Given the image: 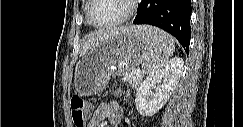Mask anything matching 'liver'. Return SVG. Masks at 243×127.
<instances>
[{
    "mask_svg": "<svg viewBox=\"0 0 243 127\" xmlns=\"http://www.w3.org/2000/svg\"><path fill=\"white\" fill-rule=\"evenodd\" d=\"M136 27L132 26V27H121V28H117V29H111V30H101V31H95L91 34H89L88 36H86L81 44V51L80 54L83 56L85 54L88 53V51L92 48V46L99 40H101L102 38H105L107 36L113 35L116 32L119 31H126V30H130V29H134ZM138 29H141V26L137 27Z\"/></svg>",
    "mask_w": 243,
    "mask_h": 127,
    "instance_id": "6515ba94",
    "label": "liver"
}]
</instances>
